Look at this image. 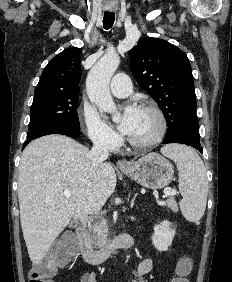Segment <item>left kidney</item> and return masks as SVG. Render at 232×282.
<instances>
[{"label": "left kidney", "instance_id": "1", "mask_svg": "<svg viewBox=\"0 0 232 282\" xmlns=\"http://www.w3.org/2000/svg\"><path fill=\"white\" fill-rule=\"evenodd\" d=\"M175 226L169 221H163L154 226L152 244L158 251H167L175 236Z\"/></svg>", "mask_w": 232, "mask_h": 282}]
</instances>
